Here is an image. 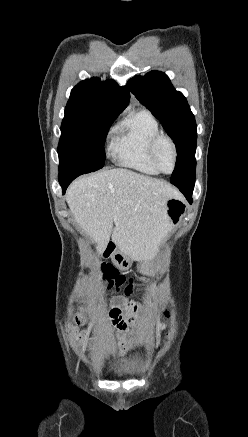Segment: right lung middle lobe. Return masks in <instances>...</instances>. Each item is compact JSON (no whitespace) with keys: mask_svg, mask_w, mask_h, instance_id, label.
Here are the masks:
<instances>
[{"mask_svg":"<svg viewBox=\"0 0 248 437\" xmlns=\"http://www.w3.org/2000/svg\"><path fill=\"white\" fill-rule=\"evenodd\" d=\"M116 118H92L65 113L58 146L59 171L85 174L101 169L106 157L105 138Z\"/></svg>","mask_w":248,"mask_h":437,"instance_id":"right-lung-middle-lobe-1","label":"right lung middle lobe"}]
</instances>
